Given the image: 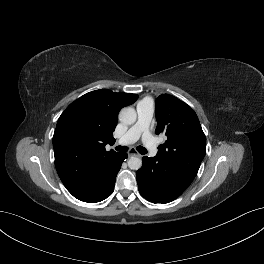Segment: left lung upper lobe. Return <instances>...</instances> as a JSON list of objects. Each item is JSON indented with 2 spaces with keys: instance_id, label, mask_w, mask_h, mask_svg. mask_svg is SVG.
<instances>
[{
  "instance_id": "1",
  "label": "left lung upper lobe",
  "mask_w": 264,
  "mask_h": 264,
  "mask_svg": "<svg viewBox=\"0 0 264 264\" xmlns=\"http://www.w3.org/2000/svg\"><path fill=\"white\" fill-rule=\"evenodd\" d=\"M156 120L155 133L167 136L157 155L198 169L206 153V137L193 109L174 96L162 94L156 99Z\"/></svg>"
}]
</instances>
